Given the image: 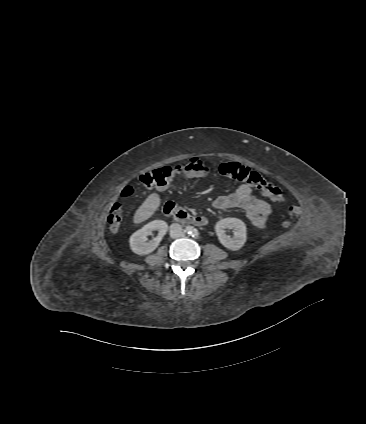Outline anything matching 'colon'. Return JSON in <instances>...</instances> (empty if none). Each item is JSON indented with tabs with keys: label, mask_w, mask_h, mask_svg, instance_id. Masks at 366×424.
Here are the masks:
<instances>
[{
	"label": "colon",
	"mask_w": 366,
	"mask_h": 424,
	"mask_svg": "<svg viewBox=\"0 0 366 424\" xmlns=\"http://www.w3.org/2000/svg\"><path fill=\"white\" fill-rule=\"evenodd\" d=\"M208 173V167L198 157H192L182 164L175 166H165L156 170L147 172L139 176L138 184L143 187H164L176 176L180 174L189 177H203ZM219 173L227 178L242 181L250 186L259 189L263 195L272 201L281 203L285 200L282 190L273 182L264 178L257 171H254L237 162H227L219 166ZM131 188L125 189L123 196L127 197L132 194ZM123 205L117 202L111 208L107 217V225L111 231H117L122 221ZM299 215V207L290 205L287 209V218L284 225H290Z\"/></svg>",
	"instance_id": "1"
}]
</instances>
